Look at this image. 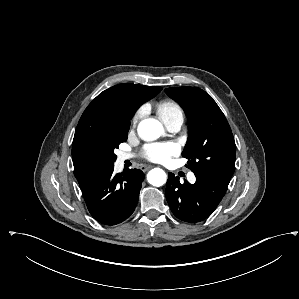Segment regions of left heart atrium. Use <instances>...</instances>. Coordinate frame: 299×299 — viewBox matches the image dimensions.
<instances>
[{"label": "left heart atrium", "instance_id": "obj_1", "mask_svg": "<svg viewBox=\"0 0 299 299\" xmlns=\"http://www.w3.org/2000/svg\"><path fill=\"white\" fill-rule=\"evenodd\" d=\"M178 153L179 147L173 142L153 143L144 147L145 158L157 163H167Z\"/></svg>", "mask_w": 299, "mask_h": 299}]
</instances>
